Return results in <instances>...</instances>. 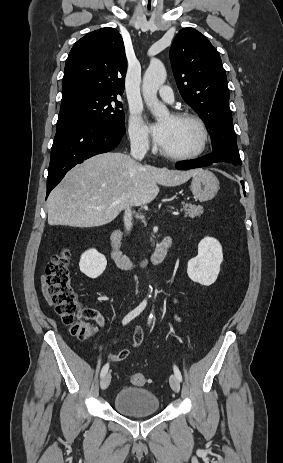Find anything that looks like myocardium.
Listing matches in <instances>:
<instances>
[{
	"label": "myocardium",
	"instance_id": "obj_1",
	"mask_svg": "<svg viewBox=\"0 0 283 463\" xmlns=\"http://www.w3.org/2000/svg\"><path fill=\"white\" fill-rule=\"evenodd\" d=\"M171 118L175 120H188V121L193 122L200 131V136H201L200 144L195 151L186 153V154H172L162 149H159V153L162 156L170 160H175V161H188V160H193L201 156L206 150L208 140H209L208 129L203 119L197 114L192 113V112H177V113H174L171 116Z\"/></svg>",
	"mask_w": 283,
	"mask_h": 463
}]
</instances>
